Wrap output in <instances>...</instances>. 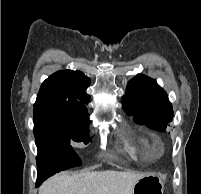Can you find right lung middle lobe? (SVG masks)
Instances as JSON below:
<instances>
[{
    "label": "right lung middle lobe",
    "instance_id": "1",
    "mask_svg": "<svg viewBox=\"0 0 201 194\" xmlns=\"http://www.w3.org/2000/svg\"><path fill=\"white\" fill-rule=\"evenodd\" d=\"M33 115L34 136L37 146L52 144L74 151L70 145L71 141L84 142L85 144L90 141L87 136L89 119L71 116L60 105L35 106ZM79 165H81V161L75 153L69 156L64 165L57 169L56 172Z\"/></svg>",
    "mask_w": 201,
    "mask_h": 194
}]
</instances>
